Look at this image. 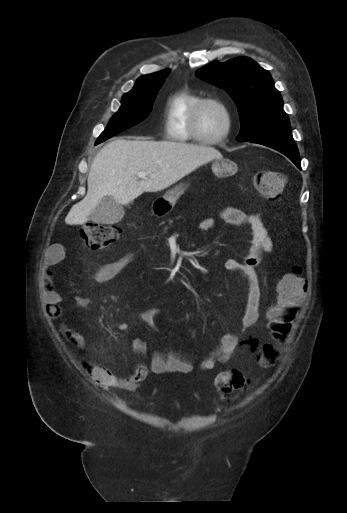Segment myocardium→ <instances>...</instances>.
I'll use <instances>...</instances> for the list:
<instances>
[{
    "label": "myocardium",
    "instance_id": "1",
    "mask_svg": "<svg viewBox=\"0 0 347 513\" xmlns=\"http://www.w3.org/2000/svg\"><path fill=\"white\" fill-rule=\"evenodd\" d=\"M209 103H213V104H216L219 107H221V109L224 111L225 116H226V128H225L224 132L221 135H219L218 137H215V138L203 137L200 134L199 127H198L199 114H200L202 108L205 105L209 104ZM189 127H190V131H191L193 137L196 138L200 143L206 144V145L218 144V143L224 141L230 135V133H231V130H232V127H233V114H232V110H231L230 106L226 102H224L222 100H219V99L214 98V97H203L196 104V106L194 107V109H193V111L191 113Z\"/></svg>",
    "mask_w": 347,
    "mask_h": 513
}]
</instances>
